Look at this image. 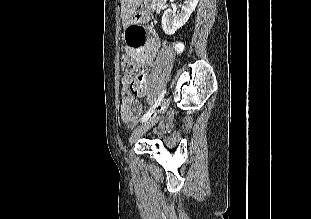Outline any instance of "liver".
I'll return each mask as SVG.
<instances>
[{"mask_svg":"<svg viewBox=\"0 0 311 219\" xmlns=\"http://www.w3.org/2000/svg\"><path fill=\"white\" fill-rule=\"evenodd\" d=\"M133 1L135 0H121V14L124 21L128 20L137 7Z\"/></svg>","mask_w":311,"mask_h":219,"instance_id":"6515ba94","label":"liver"}]
</instances>
